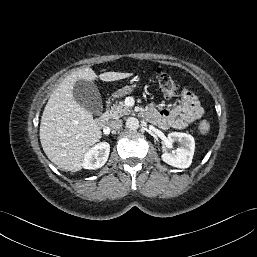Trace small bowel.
I'll return each instance as SVG.
<instances>
[{
  "label": "small bowel",
  "instance_id": "obj_1",
  "mask_svg": "<svg viewBox=\"0 0 257 257\" xmlns=\"http://www.w3.org/2000/svg\"><path fill=\"white\" fill-rule=\"evenodd\" d=\"M204 110L197 98L187 87L182 88L180 102L171 109H157L149 105L144 109L145 116L162 129H185L200 119Z\"/></svg>",
  "mask_w": 257,
  "mask_h": 257
}]
</instances>
